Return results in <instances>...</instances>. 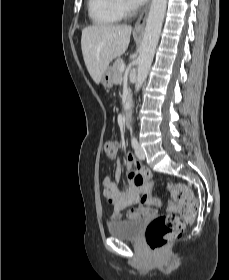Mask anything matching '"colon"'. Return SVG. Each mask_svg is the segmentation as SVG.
Returning <instances> with one entry per match:
<instances>
[{"label": "colon", "instance_id": "obj_1", "mask_svg": "<svg viewBox=\"0 0 229 280\" xmlns=\"http://www.w3.org/2000/svg\"><path fill=\"white\" fill-rule=\"evenodd\" d=\"M104 154L108 159L114 156L115 145L107 141L103 147ZM137 185L144 182L153 183L154 179L149 175L138 174L134 178ZM169 191L172 199L178 206L180 215H162L153 219L146 229V240L153 252H159L169 242L178 237L184 230L185 224L192 221L199 211V202L195 198L190 186L184 183H171ZM153 206L160 205L159 199H152Z\"/></svg>", "mask_w": 229, "mask_h": 280}]
</instances>
